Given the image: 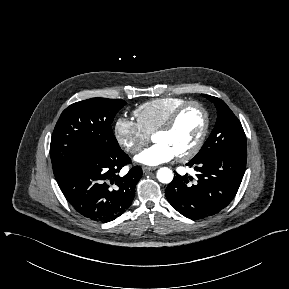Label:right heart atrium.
Instances as JSON below:
<instances>
[{"label": "right heart atrium", "instance_id": "1", "mask_svg": "<svg viewBox=\"0 0 289 289\" xmlns=\"http://www.w3.org/2000/svg\"><path fill=\"white\" fill-rule=\"evenodd\" d=\"M114 137L117 143L128 153L134 154L148 142L149 135L141 126L126 117H120L114 125Z\"/></svg>", "mask_w": 289, "mask_h": 289}]
</instances>
